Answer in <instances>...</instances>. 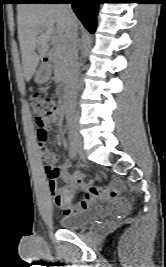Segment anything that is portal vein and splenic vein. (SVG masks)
I'll list each match as a JSON object with an SVG mask.
<instances>
[{
    "instance_id": "portal-vein-and-splenic-vein-1",
    "label": "portal vein and splenic vein",
    "mask_w": 166,
    "mask_h": 267,
    "mask_svg": "<svg viewBox=\"0 0 166 267\" xmlns=\"http://www.w3.org/2000/svg\"><path fill=\"white\" fill-rule=\"evenodd\" d=\"M56 43H57V44H60V43H62V40H61L59 37H57V38H56Z\"/></svg>"
}]
</instances>
